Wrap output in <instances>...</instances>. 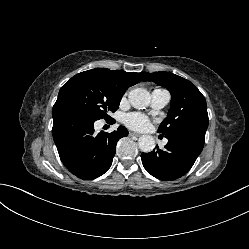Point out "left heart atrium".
Listing matches in <instances>:
<instances>
[{"mask_svg": "<svg viewBox=\"0 0 249 249\" xmlns=\"http://www.w3.org/2000/svg\"><path fill=\"white\" fill-rule=\"evenodd\" d=\"M125 124L132 129L142 130L149 126V119L140 113H129L124 118Z\"/></svg>", "mask_w": 249, "mask_h": 249, "instance_id": "39dd6f15", "label": "left heart atrium"}]
</instances>
